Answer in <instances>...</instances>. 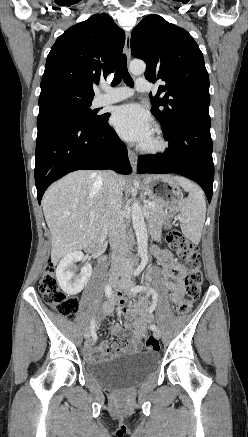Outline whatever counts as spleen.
Returning a JSON list of instances; mask_svg holds the SVG:
<instances>
[{
    "mask_svg": "<svg viewBox=\"0 0 248 437\" xmlns=\"http://www.w3.org/2000/svg\"><path fill=\"white\" fill-rule=\"evenodd\" d=\"M175 181L188 192L187 198H181L179 201V221L181 230L194 244H198L201 239V233L206 217V202L205 197L199 186L190 180L175 176Z\"/></svg>",
    "mask_w": 248,
    "mask_h": 437,
    "instance_id": "obj_1",
    "label": "spleen"
}]
</instances>
